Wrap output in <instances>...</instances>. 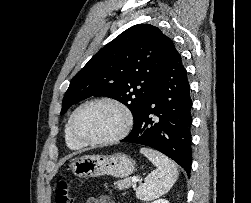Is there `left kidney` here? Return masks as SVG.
<instances>
[{"label": "left kidney", "instance_id": "5707ae66", "mask_svg": "<svg viewBox=\"0 0 251 203\" xmlns=\"http://www.w3.org/2000/svg\"><path fill=\"white\" fill-rule=\"evenodd\" d=\"M152 203H169V201H167L166 199H158Z\"/></svg>", "mask_w": 251, "mask_h": 203}]
</instances>
